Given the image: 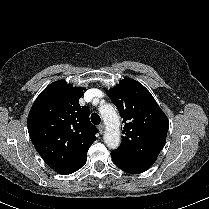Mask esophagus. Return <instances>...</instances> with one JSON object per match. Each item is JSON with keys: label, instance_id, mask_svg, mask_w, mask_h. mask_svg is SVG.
I'll use <instances>...</instances> for the list:
<instances>
[{"label": "esophagus", "instance_id": "34e87169", "mask_svg": "<svg viewBox=\"0 0 209 209\" xmlns=\"http://www.w3.org/2000/svg\"><path fill=\"white\" fill-rule=\"evenodd\" d=\"M98 129H99L100 133H103V132H104V129H105L104 124H100V125L98 126Z\"/></svg>", "mask_w": 209, "mask_h": 209}]
</instances>
